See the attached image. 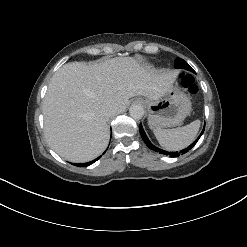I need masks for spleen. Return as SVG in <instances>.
Segmentation results:
<instances>
[{
  "label": "spleen",
  "instance_id": "3e777b00",
  "mask_svg": "<svg viewBox=\"0 0 247 247\" xmlns=\"http://www.w3.org/2000/svg\"><path fill=\"white\" fill-rule=\"evenodd\" d=\"M200 128V120L176 129L153 130L159 144L169 151H177L189 146L196 138Z\"/></svg>",
  "mask_w": 247,
  "mask_h": 247
}]
</instances>
